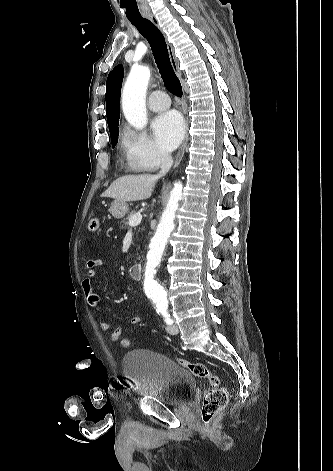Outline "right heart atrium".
<instances>
[{
    "instance_id": "obj_1",
    "label": "right heart atrium",
    "mask_w": 333,
    "mask_h": 471,
    "mask_svg": "<svg viewBox=\"0 0 333 471\" xmlns=\"http://www.w3.org/2000/svg\"><path fill=\"white\" fill-rule=\"evenodd\" d=\"M121 143L129 165L139 171H155L170 159L168 153L142 130L124 128Z\"/></svg>"
}]
</instances>
